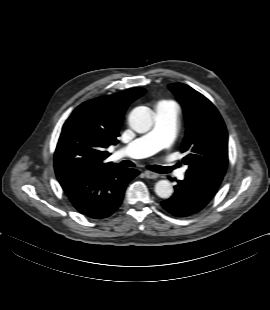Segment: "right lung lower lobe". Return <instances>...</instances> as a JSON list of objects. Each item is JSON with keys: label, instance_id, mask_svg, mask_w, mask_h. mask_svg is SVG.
<instances>
[{"label": "right lung lower lobe", "instance_id": "1", "mask_svg": "<svg viewBox=\"0 0 270 310\" xmlns=\"http://www.w3.org/2000/svg\"><path fill=\"white\" fill-rule=\"evenodd\" d=\"M138 174L136 169L114 165L58 180L77 211L90 218L103 219L118 209L127 184Z\"/></svg>", "mask_w": 270, "mask_h": 310}]
</instances>
